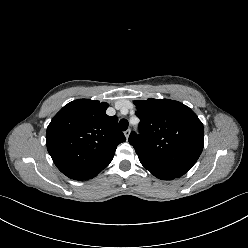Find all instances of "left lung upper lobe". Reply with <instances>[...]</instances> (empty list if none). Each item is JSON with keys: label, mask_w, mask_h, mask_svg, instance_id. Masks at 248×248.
Masks as SVG:
<instances>
[{"label": "left lung upper lobe", "mask_w": 248, "mask_h": 248, "mask_svg": "<svg viewBox=\"0 0 248 248\" xmlns=\"http://www.w3.org/2000/svg\"><path fill=\"white\" fill-rule=\"evenodd\" d=\"M140 134L129 143L141 164L153 175L180 177L198 160L204 146V129L197 115L174 100L134 101Z\"/></svg>", "instance_id": "5c2ea615"}]
</instances>
